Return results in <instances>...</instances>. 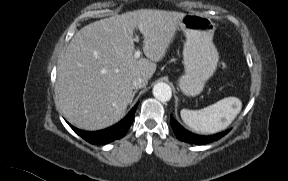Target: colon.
Segmentation results:
<instances>
[{"label": "colon", "mask_w": 288, "mask_h": 181, "mask_svg": "<svg viewBox=\"0 0 288 181\" xmlns=\"http://www.w3.org/2000/svg\"><path fill=\"white\" fill-rule=\"evenodd\" d=\"M223 69L227 68V65L225 63H221L220 65Z\"/></svg>", "instance_id": "colon-1"}]
</instances>
